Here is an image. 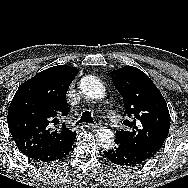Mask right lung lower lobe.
Listing matches in <instances>:
<instances>
[{
	"label": "right lung lower lobe",
	"mask_w": 188,
	"mask_h": 188,
	"mask_svg": "<svg viewBox=\"0 0 188 188\" xmlns=\"http://www.w3.org/2000/svg\"><path fill=\"white\" fill-rule=\"evenodd\" d=\"M75 138L76 134H73L66 141L60 144L30 150L24 155L34 160H41L45 162H50L63 158L71 151Z\"/></svg>",
	"instance_id": "98d812e1"
}]
</instances>
